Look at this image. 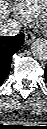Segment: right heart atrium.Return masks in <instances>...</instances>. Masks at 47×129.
I'll use <instances>...</instances> for the list:
<instances>
[{
    "label": "right heart atrium",
    "mask_w": 47,
    "mask_h": 129,
    "mask_svg": "<svg viewBox=\"0 0 47 129\" xmlns=\"http://www.w3.org/2000/svg\"><path fill=\"white\" fill-rule=\"evenodd\" d=\"M11 11H12L13 16L20 23H26L30 19L28 14L18 5V3H15V4L12 5Z\"/></svg>",
    "instance_id": "d8ad5b80"
}]
</instances>
